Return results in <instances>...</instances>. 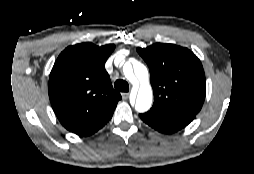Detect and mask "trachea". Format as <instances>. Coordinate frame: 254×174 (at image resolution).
I'll use <instances>...</instances> for the list:
<instances>
[{"instance_id": "obj_1", "label": "trachea", "mask_w": 254, "mask_h": 174, "mask_svg": "<svg viewBox=\"0 0 254 174\" xmlns=\"http://www.w3.org/2000/svg\"><path fill=\"white\" fill-rule=\"evenodd\" d=\"M114 87L116 90H119L121 92H128L129 91V85L128 83L123 79L116 80Z\"/></svg>"}]
</instances>
